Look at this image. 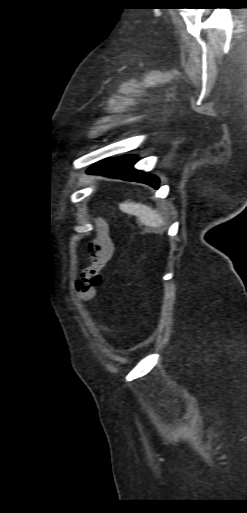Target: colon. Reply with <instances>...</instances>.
I'll return each mask as SVG.
<instances>
[{
	"label": "colon",
	"mask_w": 247,
	"mask_h": 513,
	"mask_svg": "<svg viewBox=\"0 0 247 513\" xmlns=\"http://www.w3.org/2000/svg\"><path fill=\"white\" fill-rule=\"evenodd\" d=\"M113 254L112 244L104 227H99L96 236L88 244L89 264L86 265L76 281V289L84 297L93 295L102 282L101 271Z\"/></svg>",
	"instance_id": "1"
}]
</instances>
